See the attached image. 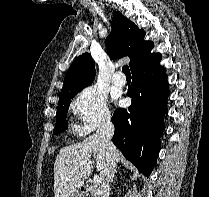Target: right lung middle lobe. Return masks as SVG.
<instances>
[{"instance_id": "obj_1", "label": "right lung middle lobe", "mask_w": 209, "mask_h": 197, "mask_svg": "<svg viewBox=\"0 0 209 197\" xmlns=\"http://www.w3.org/2000/svg\"><path fill=\"white\" fill-rule=\"evenodd\" d=\"M84 88L85 87L73 88L60 95L56 114L55 134L61 133L68 128L66 115L71 99Z\"/></svg>"}]
</instances>
